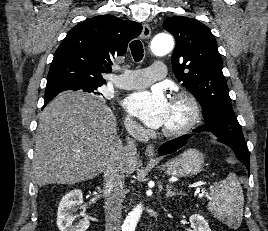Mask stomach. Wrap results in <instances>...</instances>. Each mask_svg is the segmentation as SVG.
Returning <instances> with one entry per match:
<instances>
[{"label":"stomach","mask_w":268,"mask_h":231,"mask_svg":"<svg viewBox=\"0 0 268 231\" xmlns=\"http://www.w3.org/2000/svg\"><path fill=\"white\" fill-rule=\"evenodd\" d=\"M204 167V156L196 149H188L180 156L160 166L168 176L191 177L197 175Z\"/></svg>","instance_id":"stomach-1"}]
</instances>
